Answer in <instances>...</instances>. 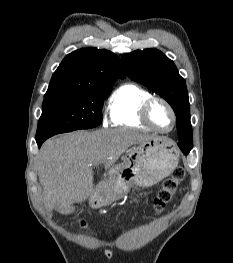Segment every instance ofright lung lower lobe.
Returning <instances> with one entry per match:
<instances>
[{
  "mask_svg": "<svg viewBox=\"0 0 233 263\" xmlns=\"http://www.w3.org/2000/svg\"><path fill=\"white\" fill-rule=\"evenodd\" d=\"M44 141H45V140H38V141H37L38 147H40Z\"/></svg>",
  "mask_w": 233,
  "mask_h": 263,
  "instance_id": "right-lung-lower-lobe-1",
  "label": "right lung lower lobe"
}]
</instances>
